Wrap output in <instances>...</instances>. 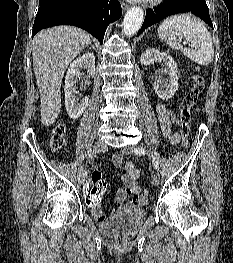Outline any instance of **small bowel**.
Here are the masks:
<instances>
[{
	"label": "small bowel",
	"instance_id": "c3829d8e",
	"mask_svg": "<svg viewBox=\"0 0 233 263\" xmlns=\"http://www.w3.org/2000/svg\"><path fill=\"white\" fill-rule=\"evenodd\" d=\"M156 112L160 124V128L163 136L171 143L178 144L182 140V135L180 130L173 131V126H179L180 122L177 119L175 113L169 109L165 104L158 103L156 105ZM113 162L115 166L121 167L123 158L121 155L116 154L113 156ZM140 176L139 169L135 168L134 164L131 162L126 163L122 168V180L124 183V188L117 190L115 195V200L122 208H139L142 206L140 201L141 188L138 184V178ZM89 186V185H87ZM128 196H132L131 199L127 200ZM92 214L102 222L106 220L107 215L101 210L99 206V201L96 202L95 208H90Z\"/></svg>",
	"mask_w": 233,
	"mask_h": 263
}]
</instances>
